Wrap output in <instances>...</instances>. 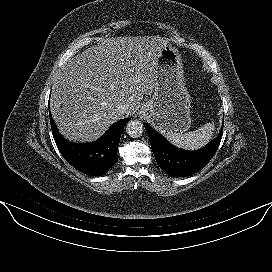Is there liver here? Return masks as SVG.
<instances>
[{
    "instance_id": "liver-1",
    "label": "liver",
    "mask_w": 272,
    "mask_h": 272,
    "mask_svg": "<svg viewBox=\"0 0 272 272\" xmlns=\"http://www.w3.org/2000/svg\"><path fill=\"white\" fill-rule=\"evenodd\" d=\"M169 43L160 36L103 38L71 58L58 75L51 113L69 140L91 142L129 115L156 87L158 59ZM128 110L119 114L116 105Z\"/></svg>"
}]
</instances>
